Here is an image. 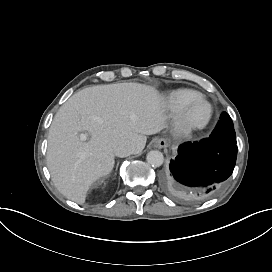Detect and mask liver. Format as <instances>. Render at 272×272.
<instances>
[{
	"label": "liver",
	"mask_w": 272,
	"mask_h": 272,
	"mask_svg": "<svg viewBox=\"0 0 272 272\" xmlns=\"http://www.w3.org/2000/svg\"><path fill=\"white\" fill-rule=\"evenodd\" d=\"M159 92L140 83H117L84 88L73 94L55 114L48 134L47 167L58 191L85 202L93 182L114 167V147L123 140L146 145V135L167 127ZM87 131L88 141L79 133Z\"/></svg>",
	"instance_id": "liver-1"
}]
</instances>
